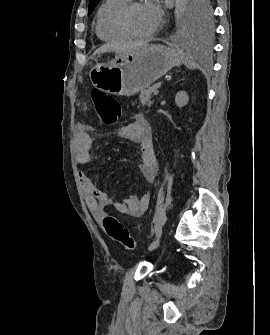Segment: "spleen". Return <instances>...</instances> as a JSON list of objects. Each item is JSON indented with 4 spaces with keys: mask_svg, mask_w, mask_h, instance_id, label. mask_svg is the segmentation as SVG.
Instances as JSON below:
<instances>
[{
    "mask_svg": "<svg viewBox=\"0 0 270 335\" xmlns=\"http://www.w3.org/2000/svg\"><path fill=\"white\" fill-rule=\"evenodd\" d=\"M183 60L184 64H186V66H189V68H197L196 62H191V60H189L188 54H183Z\"/></svg>",
    "mask_w": 270,
    "mask_h": 335,
    "instance_id": "spleen-1",
    "label": "spleen"
}]
</instances>
